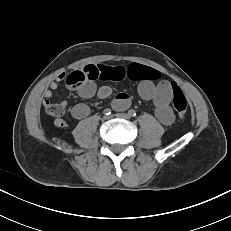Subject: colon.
I'll return each instance as SVG.
<instances>
[{
    "mask_svg": "<svg viewBox=\"0 0 231 231\" xmlns=\"http://www.w3.org/2000/svg\"><path fill=\"white\" fill-rule=\"evenodd\" d=\"M145 76L152 80L153 82H158L161 79V74L154 69L145 67L143 70ZM84 82V76L81 72L75 71L68 75L66 78V85L71 89H76L80 87ZM173 96H172V105L177 112L179 117H184L187 111L188 103L185 98V95L181 89L174 83H171ZM46 111L56 117H62L65 113V109L62 105L59 104H48L45 106Z\"/></svg>",
    "mask_w": 231,
    "mask_h": 231,
    "instance_id": "colon-1",
    "label": "colon"
}]
</instances>
